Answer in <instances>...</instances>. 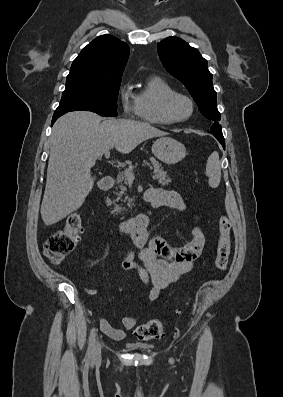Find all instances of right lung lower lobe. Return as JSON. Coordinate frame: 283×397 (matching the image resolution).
I'll return each instance as SVG.
<instances>
[{
  "instance_id": "1",
  "label": "right lung lower lobe",
  "mask_w": 283,
  "mask_h": 397,
  "mask_svg": "<svg viewBox=\"0 0 283 397\" xmlns=\"http://www.w3.org/2000/svg\"><path fill=\"white\" fill-rule=\"evenodd\" d=\"M65 113H66V112L54 113L53 118H52V124H51V125H53V123H54L60 116H62V115L65 114Z\"/></svg>"
}]
</instances>
